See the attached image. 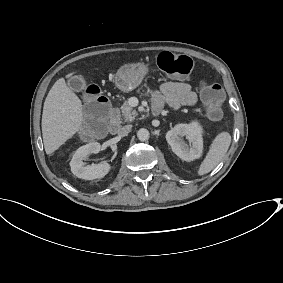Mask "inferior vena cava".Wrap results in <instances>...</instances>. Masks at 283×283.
Returning a JSON list of instances; mask_svg holds the SVG:
<instances>
[{
	"mask_svg": "<svg viewBox=\"0 0 283 283\" xmlns=\"http://www.w3.org/2000/svg\"><path fill=\"white\" fill-rule=\"evenodd\" d=\"M131 129L132 125H125L119 130L118 135L121 137L127 136Z\"/></svg>",
	"mask_w": 283,
	"mask_h": 283,
	"instance_id": "inferior-vena-cava-1",
	"label": "inferior vena cava"
}]
</instances>
